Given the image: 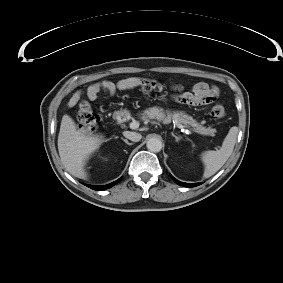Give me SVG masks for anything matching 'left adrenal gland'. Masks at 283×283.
Masks as SVG:
<instances>
[{
	"mask_svg": "<svg viewBox=\"0 0 283 283\" xmlns=\"http://www.w3.org/2000/svg\"><path fill=\"white\" fill-rule=\"evenodd\" d=\"M172 136L175 138L176 142L180 140V137L176 136L174 133H172Z\"/></svg>",
	"mask_w": 283,
	"mask_h": 283,
	"instance_id": "obj_1",
	"label": "left adrenal gland"
}]
</instances>
